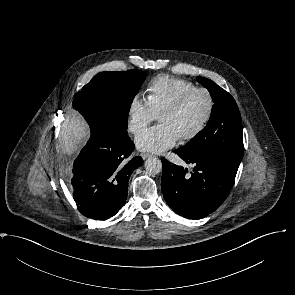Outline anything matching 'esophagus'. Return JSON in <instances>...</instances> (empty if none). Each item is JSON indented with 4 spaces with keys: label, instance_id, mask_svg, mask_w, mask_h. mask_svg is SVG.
Returning <instances> with one entry per match:
<instances>
[{
    "label": "esophagus",
    "instance_id": "34e87169",
    "mask_svg": "<svg viewBox=\"0 0 295 295\" xmlns=\"http://www.w3.org/2000/svg\"><path fill=\"white\" fill-rule=\"evenodd\" d=\"M152 155L151 154H149V153H142L141 154V157L144 159V160H146L147 158H149V157H151Z\"/></svg>",
    "mask_w": 295,
    "mask_h": 295
}]
</instances>
